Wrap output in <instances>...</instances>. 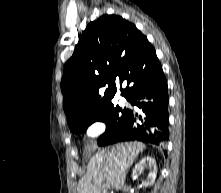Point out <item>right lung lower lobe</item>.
I'll use <instances>...</instances> for the list:
<instances>
[{"mask_svg":"<svg viewBox=\"0 0 221 193\" xmlns=\"http://www.w3.org/2000/svg\"><path fill=\"white\" fill-rule=\"evenodd\" d=\"M129 101L142 110H131L125 126L105 144L140 140L162 145L169 139L168 91L161 64L157 62L135 85Z\"/></svg>","mask_w":221,"mask_h":193,"instance_id":"obj_1","label":"right lung lower lobe"}]
</instances>
